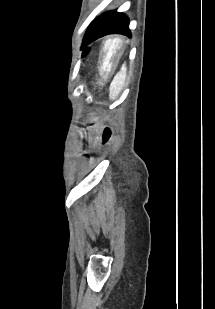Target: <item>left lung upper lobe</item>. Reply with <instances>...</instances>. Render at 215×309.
<instances>
[{
  "label": "left lung upper lobe",
  "mask_w": 215,
  "mask_h": 309,
  "mask_svg": "<svg viewBox=\"0 0 215 309\" xmlns=\"http://www.w3.org/2000/svg\"><path fill=\"white\" fill-rule=\"evenodd\" d=\"M108 34L131 36L128 18L122 13L111 11L95 20L87 30L84 43H91Z\"/></svg>",
  "instance_id": "obj_1"
}]
</instances>
